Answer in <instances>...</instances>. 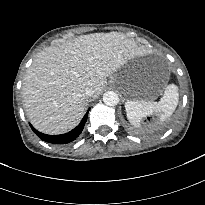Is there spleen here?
Instances as JSON below:
<instances>
[{
  "label": "spleen",
  "mask_w": 205,
  "mask_h": 205,
  "mask_svg": "<svg viewBox=\"0 0 205 205\" xmlns=\"http://www.w3.org/2000/svg\"><path fill=\"white\" fill-rule=\"evenodd\" d=\"M179 100L178 87L169 84L159 102L127 101L125 109L127 118L133 125H139L142 118L153 113H161V120L169 117L177 107Z\"/></svg>",
  "instance_id": "spleen-1"
}]
</instances>
